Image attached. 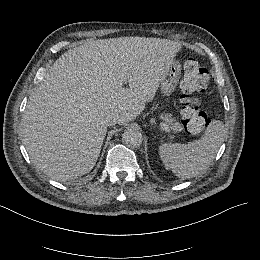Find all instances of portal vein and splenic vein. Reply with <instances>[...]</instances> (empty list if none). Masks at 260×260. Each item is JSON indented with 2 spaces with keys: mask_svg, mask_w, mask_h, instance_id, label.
Here are the masks:
<instances>
[{
  "mask_svg": "<svg viewBox=\"0 0 260 260\" xmlns=\"http://www.w3.org/2000/svg\"><path fill=\"white\" fill-rule=\"evenodd\" d=\"M161 129L169 132L171 128L167 124L161 123Z\"/></svg>",
  "mask_w": 260,
  "mask_h": 260,
  "instance_id": "1",
  "label": "portal vein and splenic vein"
}]
</instances>
